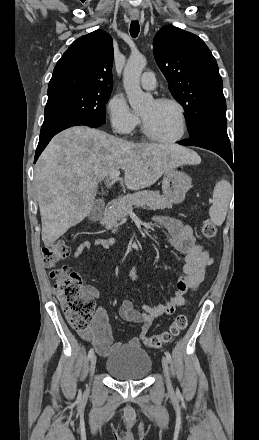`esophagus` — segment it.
Segmentation results:
<instances>
[{
    "instance_id": "esophagus-1",
    "label": "esophagus",
    "mask_w": 259,
    "mask_h": 440,
    "mask_svg": "<svg viewBox=\"0 0 259 440\" xmlns=\"http://www.w3.org/2000/svg\"><path fill=\"white\" fill-rule=\"evenodd\" d=\"M132 18H133V19H137V18H138V15H132Z\"/></svg>"
}]
</instances>
